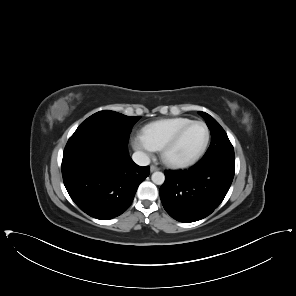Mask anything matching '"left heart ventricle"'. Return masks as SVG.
<instances>
[{
	"label": "left heart ventricle",
	"instance_id": "b2bd125f",
	"mask_svg": "<svg viewBox=\"0 0 296 296\" xmlns=\"http://www.w3.org/2000/svg\"><path fill=\"white\" fill-rule=\"evenodd\" d=\"M205 129L201 125H192L180 136L168 151L170 159H185L195 155L205 140Z\"/></svg>",
	"mask_w": 296,
	"mask_h": 296
}]
</instances>
